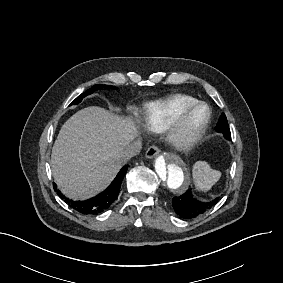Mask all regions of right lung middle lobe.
Masks as SVG:
<instances>
[{
    "mask_svg": "<svg viewBox=\"0 0 283 283\" xmlns=\"http://www.w3.org/2000/svg\"><path fill=\"white\" fill-rule=\"evenodd\" d=\"M101 87H105V88H115V87H112V86H109V85H94L92 88L88 89L85 93L79 95V97H77L75 100H73V102L71 103V105H74V104H78L79 102H81V100L91 94L96 88H101Z\"/></svg>",
    "mask_w": 283,
    "mask_h": 283,
    "instance_id": "obj_1",
    "label": "right lung middle lobe"
}]
</instances>
